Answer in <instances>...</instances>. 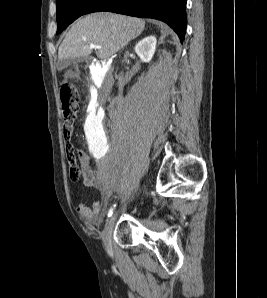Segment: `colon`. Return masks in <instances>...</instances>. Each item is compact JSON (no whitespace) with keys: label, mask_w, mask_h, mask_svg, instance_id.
Wrapping results in <instances>:
<instances>
[{"label":"colon","mask_w":267,"mask_h":298,"mask_svg":"<svg viewBox=\"0 0 267 298\" xmlns=\"http://www.w3.org/2000/svg\"><path fill=\"white\" fill-rule=\"evenodd\" d=\"M62 109L64 114L63 133L65 139V152L69 166V176L72 181H78L81 177V168L78 164L74 148L70 142V130L78 110L79 98L74 85L64 84L60 92Z\"/></svg>","instance_id":"1"}]
</instances>
